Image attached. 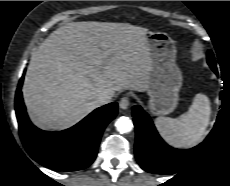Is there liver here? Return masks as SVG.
<instances>
[{"label": "liver", "mask_w": 230, "mask_h": 186, "mask_svg": "<svg viewBox=\"0 0 230 186\" xmlns=\"http://www.w3.org/2000/svg\"><path fill=\"white\" fill-rule=\"evenodd\" d=\"M147 33L108 22H71L53 31L25 75L22 92L31 121L43 130H64L99 107L101 94L147 90Z\"/></svg>", "instance_id": "1"}]
</instances>
